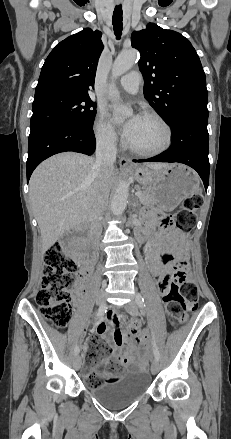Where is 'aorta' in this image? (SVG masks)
Wrapping results in <instances>:
<instances>
[{"mask_svg":"<svg viewBox=\"0 0 231 439\" xmlns=\"http://www.w3.org/2000/svg\"><path fill=\"white\" fill-rule=\"evenodd\" d=\"M138 60V52L135 49H131L122 52L115 59L112 66V78L116 79L122 74L126 73ZM109 96L115 103V110L120 113L123 117H128L132 115L133 111L131 108H123L119 104V92L114 84H111L109 89ZM129 194V184L122 181L118 184L111 201V211L114 215H121L126 206Z\"/></svg>","mask_w":231,"mask_h":439,"instance_id":"aorta-1","label":"aorta"}]
</instances>
